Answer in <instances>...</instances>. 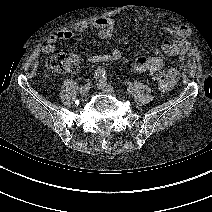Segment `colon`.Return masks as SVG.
Here are the masks:
<instances>
[{
    "label": "colon",
    "mask_w": 212,
    "mask_h": 212,
    "mask_svg": "<svg viewBox=\"0 0 212 212\" xmlns=\"http://www.w3.org/2000/svg\"><path fill=\"white\" fill-rule=\"evenodd\" d=\"M47 67L59 73H77L81 69V59L75 53H57L50 56L46 61ZM150 77L159 83L165 80L161 67H154L149 71Z\"/></svg>",
    "instance_id": "obj_1"
}]
</instances>
